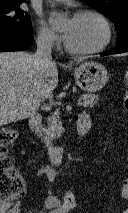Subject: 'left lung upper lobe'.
Segmentation results:
<instances>
[{"mask_svg":"<svg viewBox=\"0 0 128 213\" xmlns=\"http://www.w3.org/2000/svg\"><path fill=\"white\" fill-rule=\"evenodd\" d=\"M84 1L114 22L118 35L117 45L128 41V0Z\"/></svg>","mask_w":128,"mask_h":213,"instance_id":"obj_1","label":"left lung upper lobe"}]
</instances>
